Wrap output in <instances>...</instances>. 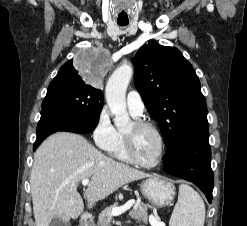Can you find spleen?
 Here are the masks:
<instances>
[{
	"label": "spleen",
	"instance_id": "1",
	"mask_svg": "<svg viewBox=\"0 0 247 226\" xmlns=\"http://www.w3.org/2000/svg\"><path fill=\"white\" fill-rule=\"evenodd\" d=\"M204 222L205 204L202 198L192 187L181 184L169 226H204Z\"/></svg>",
	"mask_w": 247,
	"mask_h": 226
}]
</instances>
